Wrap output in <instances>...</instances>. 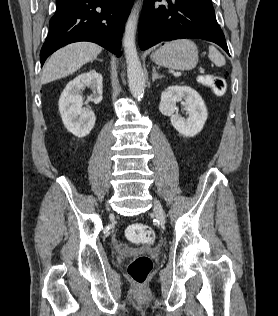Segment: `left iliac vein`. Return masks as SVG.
Segmentation results:
<instances>
[{
	"instance_id": "4c4485c4",
	"label": "left iliac vein",
	"mask_w": 278,
	"mask_h": 316,
	"mask_svg": "<svg viewBox=\"0 0 278 316\" xmlns=\"http://www.w3.org/2000/svg\"><path fill=\"white\" fill-rule=\"evenodd\" d=\"M153 212H154L155 217L157 218V220L161 224H164L165 223V213L163 211V208H162L160 202L157 201V200L154 201Z\"/></svg>"
}]
</instances>
